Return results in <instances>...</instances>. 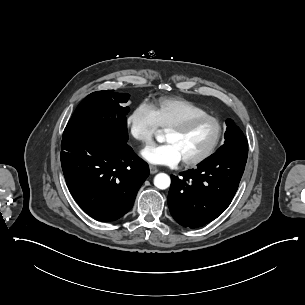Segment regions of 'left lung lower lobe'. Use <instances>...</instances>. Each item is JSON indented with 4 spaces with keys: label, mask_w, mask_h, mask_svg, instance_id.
<instances>
[{
    "label": "left lung lower lobe",
    "mask_w": 305,
    "mask_h": 305,
    "mask_svg": "<svg viewBox=\"0 0 305 305\" xmlns=\"http://www.w3.org/2000/svg\"><path fill=\"white\" fill-rule=\"evenodd\" d=\"M248 148L218 151L197 169L171 177L168 206L183 227L198 228L230 205L244 172Z\"/></svg>",
    "instance_id": "1"
}]
</instances>
